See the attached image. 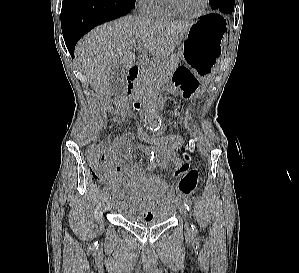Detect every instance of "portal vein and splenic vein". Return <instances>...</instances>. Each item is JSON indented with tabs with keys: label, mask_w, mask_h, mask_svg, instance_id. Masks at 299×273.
Returning a JSON list of instances; mask_svg holds the SVG:
<instances>
[{
	"label": "portal vein and splenic vein",
	"mask_w": 299,
	"mask_h": 273,
	"mask_svg": "<svg viewBox=\"0 0 299 273\" xmlns=\"http://www.w3.org/2000/svg\"><path fill=\"white\" fill-rule=\"evenodd\" d=\"M141 48V45H139V44H137L136 45V49H140ZM143 60V62H144V59H142Z\"/></svg>",
	"instance_id": "portal-vein-and-splenic-vein-1"
}]
</instances>
